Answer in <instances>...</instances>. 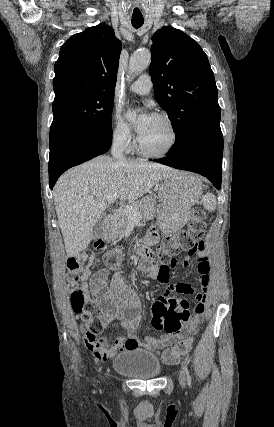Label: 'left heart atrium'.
<instances>
[{"instance_id":"left-heart-atrium-1","label":"left heart atrium","mask_w":274,"mask_h":427,"mask_svg":"<svg viewBox=\"0 0 274 427\" xmlns=\"http://www.w3.org/2000/svg\"><path fill=\"white\" fill-rule=\"evenodd\" d=\"M152 114H150L149 112L143 110L138 118V121L136 122V124L134 125V130L136 131L137 135H141L146 127L148 126L151 118H152Z\"/></svg>"}]
</instances>
